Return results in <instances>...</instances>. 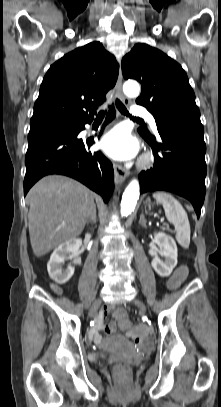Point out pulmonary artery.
<instances>
[{
    "mask_svg": "<svg viewBox=\"0 0 221 407\" xmlns=\"http://www.w3.org/2000/svg\"><path fill=\"white\" fill-rule=\"evenodd\" d=\"M131 114L133 116L136 117H143L145 118L149 124L151 125V127L156 131L157 130V125H156V121L155 118L152 116V114H150L146 109H144L143 107L140 106H133L131 108Z\"/></svg>",
    "mask_w": 221,
    "mask_h": 407,
    "instance_id": "pulmonary-artery-1",
    "label": "pulmonary artery"
}]
</instances>
